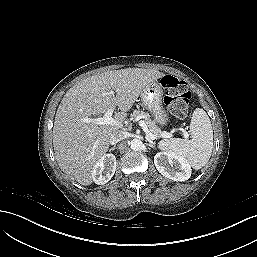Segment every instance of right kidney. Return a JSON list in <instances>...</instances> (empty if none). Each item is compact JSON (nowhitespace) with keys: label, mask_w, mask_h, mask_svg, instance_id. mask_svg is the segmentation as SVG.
Here are the masks:
<instances>
[{"label":"right kidney","mask_w":257,"mask_h":257,"mask_svg":"<svg viewBox=\"0 0 257 257\" xmlns=\"http://www.w3.org/2000/svg\"><path fill=\"white\" fill-rule=\"evenodd\" d=\"M115 171L116 157L113 154H105L93 166V181L98 185H103L111 180Z\"/></svg>","instance_id":"ca27d5eb"}]
</instances>
